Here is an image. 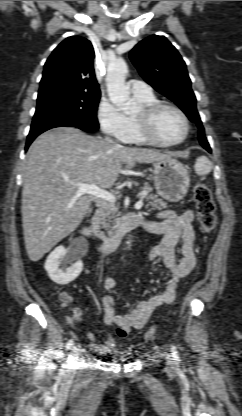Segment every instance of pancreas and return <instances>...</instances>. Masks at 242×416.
I'll return each mask as SVG.
<instances>
[{"mask_svg":"<svg viewBox=\"0 0 242 416\" xmlns=\"http://www.w3.org/2000/svg\"><path fill=\"white\" fill-rule=\"evenodd\" d=\"M152 188L150 185L145 184L142 188V192H145L144 195L139 194L138 198L141 200H146V208H151L153 210H160L161 208H166L167 203L162 199L158 198L157 195L151 193ZM120 213L118 207L114 203H105L102 204L98 211L92 218V228L94 232L102 238H105L104 233L101 231V228L110 229L113 225L112 230H109V233L115 229V226L121 222L119 218Z\"/></svg>","mask_w":242,"mask_h":416,"instance_id":"1","label":"pancreas"}]
</instances>
